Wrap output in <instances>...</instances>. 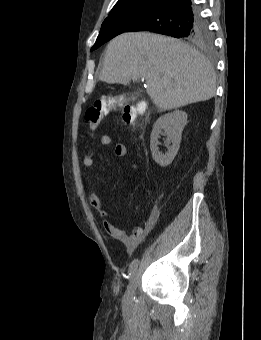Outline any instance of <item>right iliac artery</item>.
<instances>
[{
    "instance_id": "obj_1",
    "label": "right iliac artery",
    "mask_w": 261,
    "mask_h": 340,
    "mask_svg": "<svg viewBox=\"0 0 261 340\" xmlns=\"http://www.w3.org/2000/svg\"><path fill=\"white\" fill-rule=\"evenodd\" d=\"M138 264H139V260L138 259H134L130 266H129V270H128V273L129 275H132L134 273V271L137 269L138 267Z\"/></svg>"
}]
</instances>
